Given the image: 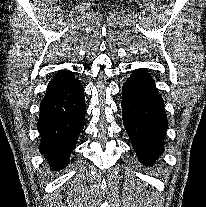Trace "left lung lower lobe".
<instances>
[{
  "instance_id": "0a47b994",
  "label": "left lung lower lobe",
  "mask_w": 206,
  "mask_h": 207,
  "mask_svg": "<svg viewBox=\"0 0 206 207\" xmlns=\"http://www.w3.org/2000/svg\"><path fill=\"white\" fill-rule=\"evenodd\" d=\"M122 116L138 159L151 165L163 152L168 121L164 101L144 68L135 70L123 84Z\"/></svg>"
}]
</instances>
